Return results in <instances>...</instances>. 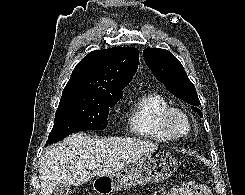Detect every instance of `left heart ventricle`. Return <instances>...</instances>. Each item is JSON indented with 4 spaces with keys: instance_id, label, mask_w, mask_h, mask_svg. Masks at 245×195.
<instances>
[{
    "instance_id": "obj_1",
    "label": "left heart ventricle",
    "mask_w": 245,
    "mask_h": 195,
    "mask_svg": "<svg viewBox=\"0 0 245 195\" xmlns=\"http://www.w3.org/2000/svg\"><path fill=\"white\" fill-rule=\"evenodd\" d=\"M171 126L177 134H184L188 129V125L186 121L181 116L178 115L172 118Z\"/></svg>"
}]
</instances>
